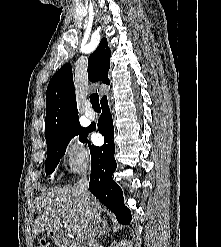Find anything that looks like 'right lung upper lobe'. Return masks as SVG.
<instances>
[{"mask_svg": "<svg viewBox=\"0 0 221 247\" xmlns=\"http://www.w3.org/2000/svg\"><path fill=\"white\" fill-rule=\"evenodd\" d=\"M110 48L103 38L88 59L91 82L109 84ZM104 96L102 99H104ZM78 121L77 104L71 64H65L50 80L46 91L45 138L54 136Z\"/></svg>", "mask_w": 221, "mask_h": 247, "instance_id": "obj_1", "label": "right lung upper lobe"}]
</instances>
